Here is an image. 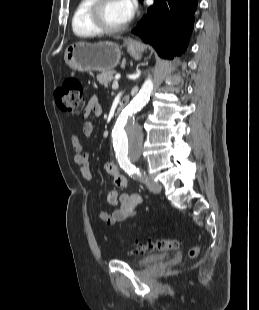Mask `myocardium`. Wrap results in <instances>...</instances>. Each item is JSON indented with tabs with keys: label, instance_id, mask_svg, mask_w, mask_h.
I'll return each mask as SVG.
<instances>
[{
	"label": "myocardium",
	"instance_id": "1",
	"mask_svg": "<svg viewBox=\"0 0 259 310\" xmlns=\"http://www.w3.org/2000/svg\"><path fill=\"white\" fill-rule=\"evenodd\" d=\"M109 0H93L88 12V19L94 29L101 34H116L128 27V22L119 27H109L102 19V10Z\"/></svg>",
	"mask_w": 259,
	"mask_h": 310
}]
</instances>
